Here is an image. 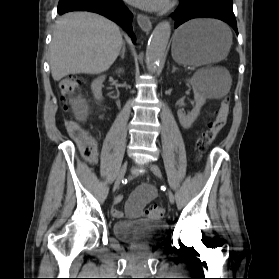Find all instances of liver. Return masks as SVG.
Wrapping results in <instances>:
<instances>
[{"mask_svg":"<svg viewBox=\"0 0 279 279\" xmlns=\"http://www.w3.org/2000/svg\"><path fill=\"white\" fill-rule=\"evenodd\" d=\"M123 45L119 27L88 12L68 13L56 22L50 45V68L55 81L70 74L108 70Z\"/></svg>","mask_w":279,"mask_h":279,"instance_id":"obj_1","label":"liver"}]
</instances>
